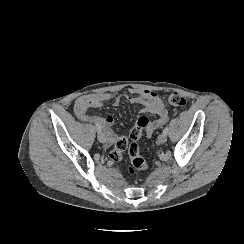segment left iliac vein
Returning <instances> with one entry per match:
<instances>
[{
  "instance_id": "1",
  "label": "left iliac vein",
  "mask_w": 244,
  "mask_h": 244,
  "mask_svg": "<svg viewBox=\"0 0 244 244\" xmlns=\"http://www.w3.org/2000/svg\"><path fill=\"white\" fill-rule=\"evenodd\" d=\"M157 141L159 144H164L167 141V135L162 133L158 136Z\"/></svg>"
}]
</instances>
